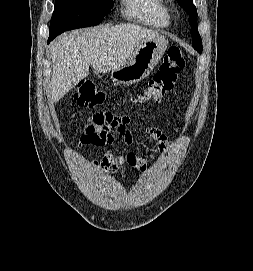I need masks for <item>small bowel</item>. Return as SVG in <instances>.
<instances>
[{"label":"small bowel","mask_w":253,"mask_h":271,"mask_svg":"<svg viewBox=\"0 0 253 271\" xmlns=\"http://www.w3.org/2000/svg\"><path fill=\"white\" fill-rule=\"evenodd\" d=\"M131 123L132 119L128 116L114 115L107 112L94 114L88 118L84 132L79 139V144L105 146L113 142L115 134L121 135L126 144H131L133 142ZM145 135L149 140L157 144L164 155L172 152L175 148L172 139L158 127H147ZM127 166L144 170L146 167L145 158L134 151H129L126 154L105 153L100 159L92 162L94 169L103 172L119 167L122 173H125Z\"/></svg>","instance_id":"small-bowel-1"}]
</instances>
